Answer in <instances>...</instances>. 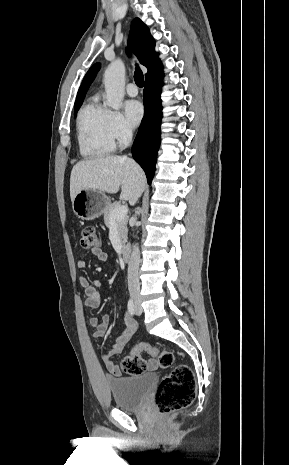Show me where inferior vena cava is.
<instances>
[{
	"instance_id": "1",
	"label": "inferior vena cava",
	"mask_w": 289,
	"mask_h": 465,
	"mask_svg": "<svg viewBox=\"0 0 289 465\" xmlns=\"http://www.w3.org/2000/svg\"><path fill=\"white\" fill-rule=\"evenodd\" d=\"M132 130L130 128L125 129V140L130 143L132 141ZM127 158V156H124ZM140 263V251L137 245L133 246L130 261L128 263V290L130 297L136 299L140 293V283L138 277V269Z\"/></svg>"
}]
</instances>
